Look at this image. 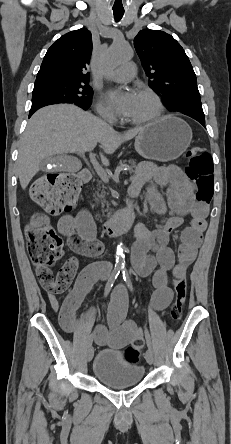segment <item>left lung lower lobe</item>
Listing matches in <instances>:
<instances>
[{"label": "left lung lower lobe", "mask_w": 231, "mask_h": 444, "mask_svg": "<svg viewBox=\"0 0 231 444\" xmlns=\"http://www.w3.org/2000/svg\"><path fill=\"white\" fill-rule=\"evenodd\" d=\"M192 118H194L195 120L200 122L205 127V119L204 118H200V117H192Z\"/></svg>", "instance_id": "left-lung-lower-lobe-1"}]
</instances>
